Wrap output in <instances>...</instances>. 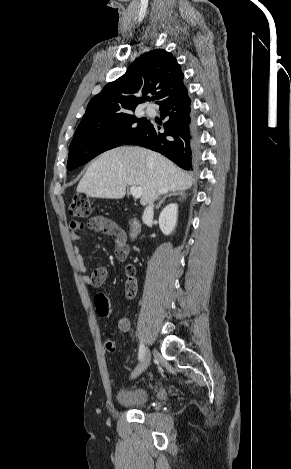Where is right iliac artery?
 <instances>
[{
  "instance_id": "82829eb1",
  "label": "right iliac artery",
  "mask_w": 291,
  "mask_h": 469,
  "mask_svg": "<svg viewBox=\"0 0 291 469\" xmlns=\"http://www.w3.org/2000/svg\"><path fill=\"white\" fill-rule=\"evenodd\" d=\"M144 352H145V347L142 343H140V346H139V353H138V358L139 359H142L143 355H144Z\"/></svg>"
}]
</instances>
